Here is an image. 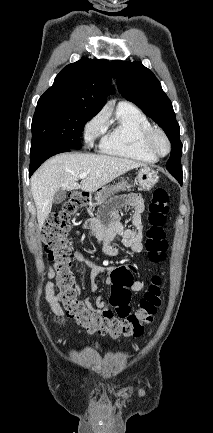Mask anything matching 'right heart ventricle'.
Instances as JSON below:
<instances>
[{"instance_id":"right-heart-ventricle-1","label":"right heart ventricle","mask_w":213,"mask_h":433,"mask_svg":"<svg viewBox=\"0 0 213 433\" xmlns=\"http://www.w3.org/2000/svg\"><path fill=\"white\" fill-rule=\"evenodd\" d=\"M151 127L143 112L130 103L121 102L117 106L113 121L105 119L100 151L112 156L155 162L157 157L143 145V134Z\"/></svg>"}]
</instances>
